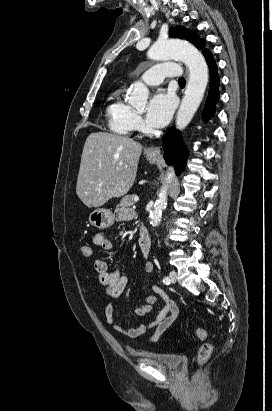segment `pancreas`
<instances>
[{
  "instance_id": "1",
  "label": "pancreas",
  "mask_w": 272,
  "mask_h": 411,
  "mask_svg": "<svg viewBox=\"0 0 272 411\" xmlns=\"http://www.w3.org/2000/svg\"><path fill=\"white\" fill-rule=\"evenodd\" d=\"M134 195H126L121 199L120 204L117 206L116 211L126 210L134 204Z\"/></svg>"
}]
</instances>
